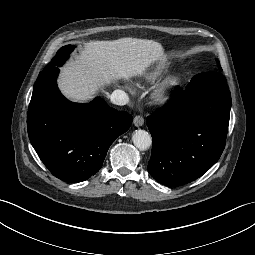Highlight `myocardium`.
Segmentation results:
<instances>
[{
	"label": "myocardium",
	"mask_w": 255,
	"mask_h": 255,
	"mask_svg": "<svg viewBox=\"0 0 255 255\" xmlns=\"http://www.w3.org/2000/svg\"><path fill=\"white\" fill-rule=\"evenodd\" d=\"M179 82L176 77H169L165 79L153 91L151 98L155 103H164L171 98Z\"/></svg>",
	"instance_id": "obj_1"
}]
</instances>
